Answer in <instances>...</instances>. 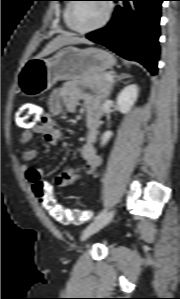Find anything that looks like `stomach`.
<instances>
[{
	"instance_id": "stomach-1",
	"label": "stomach",
	"mask_w": 180,
	"mask_h": 299,
	"mask_svg": "<svg viewBox=\"0 0 180 299\" xmlns=\"http://www.w3.org/2000/svg\"><path fill=\"white\" fill-rule=\"evenodd\" d=\"M115 63L114 56L108 51L68 46L51 58L27 60L18 72V88L27 97L39 96L59 80H75L92 73H104Z\"/></svg>"
}]
</instances>
